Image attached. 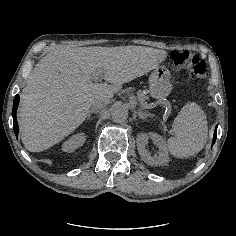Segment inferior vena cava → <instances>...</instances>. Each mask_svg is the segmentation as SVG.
<instances>
[{
    "label": "inferior vena cava",
    "mask_w": 236,
    "mask_h": 236,
    "mask_svg": "<svg viewBox=\"0 0 236 236\" xmlns=\"http://www.w3.org/2000/svg\"><path fill=\"white\" fill-rule=\"evenodd\" d=\"M107 104V103H106ZM103 105H105V104H101L99 107H103Z\"/></svg>",
    "instance_id": "602c4592"
}]
</instances>
